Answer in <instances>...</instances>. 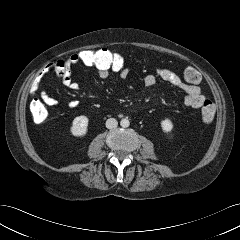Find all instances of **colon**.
<instances>
[{"mask_svg":"<svg viewBox=\"0 0 240 240\" xmlns=\"http://www.w3.org/2000/svg\"><path fill=\"white\" fill-rule=\"evenodd\" d=\"M74 55L77 64L85 66L106 68L114 72H120L127 68V60L120 53L109 49L82 50ZM184 79L189 84H198L201 80L200 73L194 67H187L183 72ZM30 112L35 122L46 120L48 112L44 104L35 99L30 104ZM215 115V108L210 100H206L201 108L203 122L210 123Z\"/></svg>","mask_w":240,"mask_h":240,"instance_id":"1","label":"colon"}]
</instances>
